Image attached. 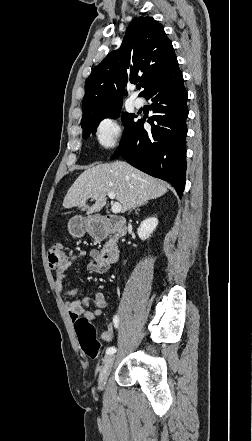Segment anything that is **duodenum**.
Returning <instances> with one entry per match:
<instances>
[{
  "label": "duodenum",
  "instance_id": "duodenum-1",
  "mask_svg": "<svg viewBox=\"0 0 252 441\" xmlns=\"http://www.w3.org/2000/svg\"><path fill=\"white\" fill-rule=\"evenodd\" d=\"M91 230L95 238H103L105 230L115 231L118 235L123 236L126 234L127 229L123 219L118 216L106 215L103 218L98 219L96 222H92ZM118 256L119 249L116 239L109 241L100 254L102 262L108 266L115 263Z\"/></svg>",
  "mask_w": 252,
  "mask_h": 441
}]
</instances>
